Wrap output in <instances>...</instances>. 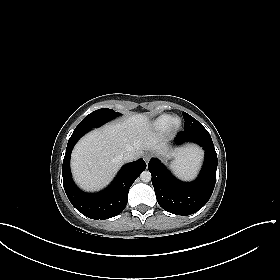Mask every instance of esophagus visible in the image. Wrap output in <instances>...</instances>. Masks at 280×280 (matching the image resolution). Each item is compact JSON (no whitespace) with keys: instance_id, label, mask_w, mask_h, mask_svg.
Segmentation results:
<instances>
[{"instance_id":"esophagus-1","label":"esophagus","mask_w":280,"mask_h":280,"mask_svg":"<svg viewBox=\"0 0 280 280\" xmlns=\"http://www.w3.org/2000/svg\"><path fill=\"white\" fill-rule=\"evenodd\" d=\"M150 158H151V154H150V153H146V154L144 155V160H145V162H149Z\"/></svg>"}]
</instances>
